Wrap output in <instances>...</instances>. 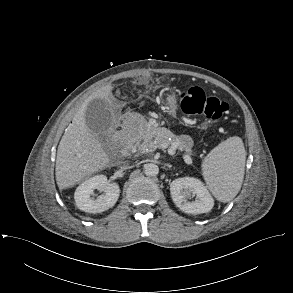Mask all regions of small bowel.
I'll list each match as a JSON object with an SVG mask.
<instances>
[{
	"label": "small bowel",
	"instance_id": "obj_1",
	"mask_svg": "<svg viewBox=\"0 0 293 293\" xmlns=\"http://www.w3.org/2000/svg\"><path fill=\"white\" fill-rule=\"evenodd\" d=\"M179 145L183 150L188 151L191 148L192 141L189 136L183 135L179 138Z\"/></svg>",
	"mask_w": 293,
	"mask_h": 293
}]
</instances>
